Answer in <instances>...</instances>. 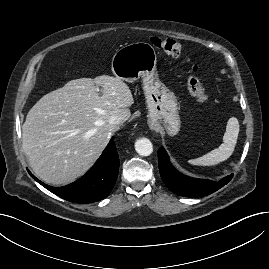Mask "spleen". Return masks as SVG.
Here are the masks:
<instances>
[{"label": "spleen", "instance_id": "obj_1", "mask_svg": "<svg viewBox=\"0 0 269 269\" xmlns=\"http://www.w3.org/2000/svg\"><path fill=\"white\" fill-rule=\"evenodd\" d=\"M239 134V122L237 118L232 117L228 120L226 126V132L223 136V143L216 149L209 153L196 158L191 159L188 162L198 166H214L227 160L233 153Z\"/></svg>", "mask_w": 269, "mask_h": 269}]
</instances>
